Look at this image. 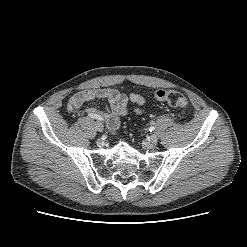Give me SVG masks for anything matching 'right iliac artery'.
<instances>
[{"label": "right iliac artery", "mask_w": 247, "mask_h": 247, "mask_svg": "<svg viewBox=\"0 0 247 247\" xmlns=\"http://www.w3.org/2000/svg\"><path fill=\"white\" fill-rule=\"evenodd\" d=\"M90 118H95V119H98V120H102V118L98 117V116H94V115H88Z\"/></svg>", "instance_id": "82829eb1"}]
</instances>
